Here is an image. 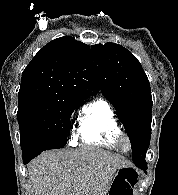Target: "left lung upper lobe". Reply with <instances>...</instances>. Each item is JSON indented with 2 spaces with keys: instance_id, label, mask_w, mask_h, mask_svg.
Returning <instances> with one entry per match:
<instances>
[{
  "instance_id": "1",
  "label": "left lung upper lobe",
  "mask_w": 178,
  "mask_h": 195,
  "mask_svg": "<svg viewBox=\"0 0 178 195\" xmlns=\"http://www.w3.org/2000/svg\"><path fill=\"white\" fill-rule=\"evenodd\" d=\"M102 94L116 109L131 142L132 160L145 166L151 137L152 97L148 78L135 56L115 43L91 47Z\"/></svg>"
}]
</instances>
